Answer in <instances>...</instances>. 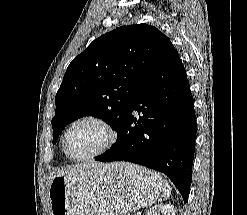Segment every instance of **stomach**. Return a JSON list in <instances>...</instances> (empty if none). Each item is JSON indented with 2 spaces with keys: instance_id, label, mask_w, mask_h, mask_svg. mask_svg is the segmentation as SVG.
Segmentation results:
<instances>
[{
  "instance_id": "obj_1",
  "label": "stomach",
  "mask_w": 247,
  "mask_h": 215,
  "mask_svg": "<svg viewBox=\"0 0 247 215\" xmlns=\"http://www.w3.org/2000/svg\"><path fill=\"white\" fill-rule=\"evenodd\" d=\"M159 174L129 163L90 168L82 176L55 177L49 186L50 215H130L160 196Z\"/></svg>"
}]
</instances>
